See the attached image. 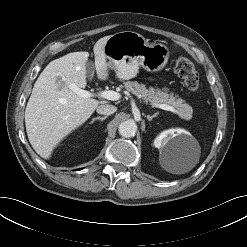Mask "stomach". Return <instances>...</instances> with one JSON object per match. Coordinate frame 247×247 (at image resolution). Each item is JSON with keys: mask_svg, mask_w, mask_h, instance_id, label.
I'll return each mask as SVG.
<instances>
[{"mask_svg": "<svg viewBox=\"0 0 247 247\" xmlns=\"http://www.w3.org/2000/svg\"><path fill=\"white\" fill-rule=\"evenodd\" d=\"M104 52L108 66L118 78H134L142 66L149 72L162 70L169 59V48L162 43H149L141 34L122 31L111 35Z\"/></svg>", "mask_w": 247, "mask_h": 247, "instance_id": "stomach-1", "label": "stomach"}]
</instances>
